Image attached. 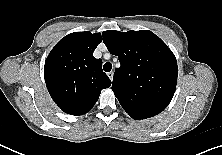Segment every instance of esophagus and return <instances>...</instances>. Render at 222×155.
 <instances>
[{
    "instance_id": "34e87169",
    "label": "esophagus",
    "mask_w": 222,
    "mask_h": 155,
    "mask_svg": "<svg viewBox=\"0 0 222 155\" xmlns=\"http://www.w3.org/2000/svg\"><path fill=\"white\" fill-rule=\"evenodd\" d=\"M107 75H108L109 79L112 81L114 73L112 71H110V72L107 73Z\"/></svg>"
}]
</instances>
